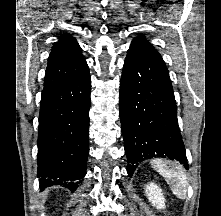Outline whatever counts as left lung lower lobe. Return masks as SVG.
Wrapping results in <instances>:
<instances>
[{
    "label": "left lung lower lobe",
    "mask_w": 221,
    "mask_h": 216,
    "mask_svg": "<svg viewBox=\"0 0 221 216\" xmlns=\"http://www.w3.org/2000/svg\"><path fill=\"white\" fill-rule=\"evenodd\" d=\"M119 111L128 174L153 157L180 161L188 169L177 107L165 63L149 44L133 42L120 82Z\"/></svg>",
    "instance_id": "obj_1"
}]
</instances>
